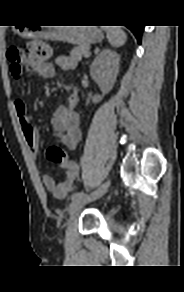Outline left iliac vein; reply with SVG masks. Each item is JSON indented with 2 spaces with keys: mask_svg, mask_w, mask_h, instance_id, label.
I'll list each match as a JSON object with an SVG mask.
<instances>
[{
  "mask_svg": "<svg viewBox=\"0 0 184 292\" xmlns=\"http://www.w3.org/2000/svg\"><path fill=\"white\" fill-rule=\"evenodd\" d=\"M109 186H110V181H107L105 184H103L101 188L96 190L94 193L88 196H85L84 198L80 200L72 201L71 204L69 205V214L74 215L84 205L103 197L106 194Z\"/></svg>",
  "mask_w": 184,
  "mask_h": 292,
  "instance_id": "left-iliac-vein-1",
  "label": "left iliac vein"
}]
</instances>
